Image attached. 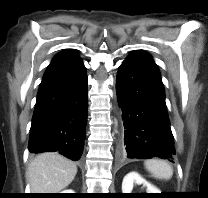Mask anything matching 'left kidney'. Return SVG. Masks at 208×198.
<instances>
[{"instance_id": "1", "label": "left kidney", "mask_w": 208, "mask_h": 198, "mask_svg": "<svg viewBox=\"0 0 208 198\" xmlns=\"http://www.w3.org/2000/svg\"><path fill=\"white\" fill-rule=\"evenodd\" d=\"M134 183L138 185L142 184L146 187V193H160L158 188L150 184L136 172H130L123 178L122 193H132Z\"/></svg>"}]
</instances>
